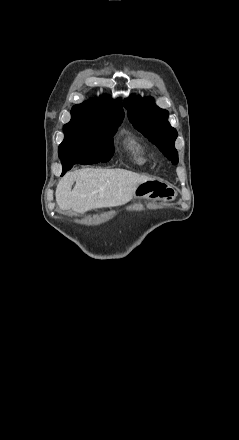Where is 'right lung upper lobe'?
Instances as JSON below:
<instances>
[{
	"label": "right lung upper lobe",
	"mask_w": 239,
	"mask_h": 440,
	"mask_svg": "<svg viewBox=\"0 0 239 440\" xmlns=\"http://www.w3.org/2000/svg\"><path fill=\"white\" fill-rule=\"evenodd\" d=\"M71 115L73 118L95 119L121 124L124 112L121 99L111 100L101 96L73 106Z\"/></svg>",
	"instance_id": "cb5924a9"
}]
</instances>
